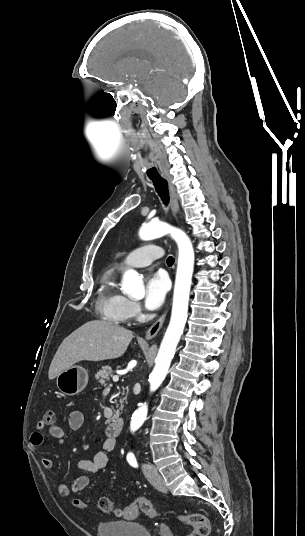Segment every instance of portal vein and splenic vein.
<instances>
[{
	"instance_id": "obj_1",
	"label": "portal vein and splenic vein",
	"mask_w": 305,
	"mask_h": 536,
	"mask_svg": "<svg viewBox=\"0 0 305 536\" xmlns=\"http://www.w3.org/2000/svg\"><path fill=\"white\" fill-rule=\"evenodd\" d=\"M117 374H122V372H117ZM119 376H113V382H118Z\"/></svg>"
}]
</instances>
